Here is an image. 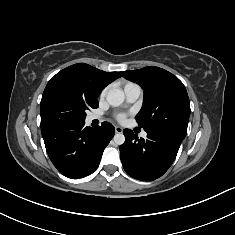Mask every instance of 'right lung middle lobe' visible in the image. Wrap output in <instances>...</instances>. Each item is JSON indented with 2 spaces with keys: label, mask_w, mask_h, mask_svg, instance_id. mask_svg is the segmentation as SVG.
<instances>
[{
  "label": "right lung middle lobe",
  "mask_w": 235,
  "mask_h": 235,
  "mask_svg": "<svg viewBox=\"0 0 235 235\" xmlns=\"http://www.w3.org/2000/svg\"><path fill=\"white\" fill-rule=\"evenodd\" d=\"M97 107L87 103L66 84L48 82L40 103L41 127L84 122L86 110Z\"/></svg>",
  "instance_id": "1"
}]
</instances>
